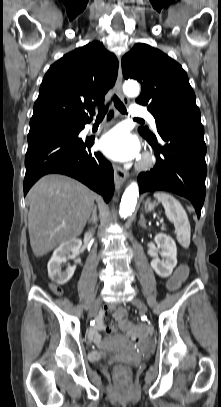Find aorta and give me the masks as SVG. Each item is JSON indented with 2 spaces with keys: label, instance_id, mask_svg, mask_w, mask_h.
Wrapping results in <instances>:
<instances>
[{
  "label": "aorta",
  "instance_id": "aorta-1",
  "mask_svg": "<svg viewBox=\"0 0 221 407\" xmlns=\"http://www.w3.org/2000/svg\"><path fill=\"white\" fill-rule=\"evenodd\" d=\"M123 91L128 96H138L140 92L139 84L136 81H126L123 85ZM139 197V187L136 182H132L124 191L119 214L122 218H127L132 214Z\"/></svg>",
  "mask_w": 221,
  "mask_h": 407
}]
</instances>
